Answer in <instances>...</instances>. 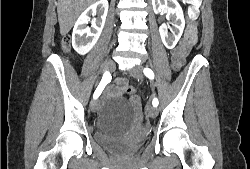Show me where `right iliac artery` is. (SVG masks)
Here are the masks:
<instances>
[{
  "mask_svg": "<svg viewBox=\"0 0 250 169\" xmlns=\"http://www.w3.org/2000/svg\"><path fill=\"white\" fill-rule=\"evenodd\" d=\"M111 79H112V76H111L110 72L106 71L103 74V77H102L100 84L98 85L97 89L94 92V95H93L94 99H97L100 96V94L104 90L105 86L111 81Z\"/></svg>",
  "mask_w": 250,
  "mask_h": 169,
  "instance_id": "obj_1",
  "label": "right iliac artery"
}]
</instances>
